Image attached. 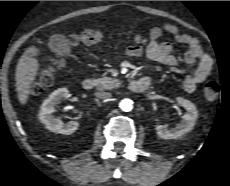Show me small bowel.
Returning <instances> with one entry per match:
<instances>
[{"instance_id":"obj_1","label":"small bowel","mask_w":230,"mask_h":186,"mask_svg":"<svg viewBox=\"0 0 230 186\" xmlns=\"http://www.w3.org/2000/svg\"><path fill=\"white\" fill-rule=\"evenodd\" d=\"M168 34L178 43L186 46L183 64L186 67L196 66L191 74H186L183 81V89L193 92L212 72L214 61L199 45L198 40L183 33L173 24H163L149 30L147 37L135 35L130 46L124 49V53L133 56H146L150 60L169 67H181V62L172 55V47L168 42L160 41V38Z\"/></svg>"}]
</instances>
